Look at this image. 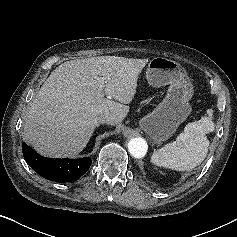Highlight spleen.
Listing matches in <instances>:
<instances>
[{
    "label": "spleen",
    "mask_w": 237,
    "mask_h": 237,
    "mask_svg": "<svg viewBox=\"0 0 237 237\" xmlns=\"http://www.w3.org/2000/svg\"><path fill=\"white\" fill-rule=\"evenodd\" d=\"M212 116L213 110L208 109L207 116L188 123L176 141L153 153L152 163L176 171H188L200 165L209 147L206 134L214 130Z\"/></svg>",
    "instance_id": "3e777b00"
}]
</instances>
